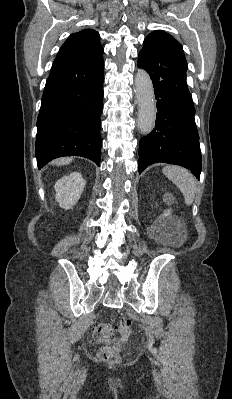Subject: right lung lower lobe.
Instances as JSON below:
<instances>
[{
    "label": "right lung lower lobe",
    "mask_w": 232,
    "mask_h": 399,
    "mask_svg": "<svg viewBox=\"0 0 232 399\" xmlns=\"http://www.w3.org/2000/svg\"><path fill=\"white\" fill-rule=\"evenodd\" d=\"M103 68L102 54L54 60L37 120L39 168L62 156L100 165Z\"/></svg>",
    "instance_id": "obj_1"
}]
</instances>
